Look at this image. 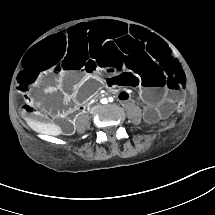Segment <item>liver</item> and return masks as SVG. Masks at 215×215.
<instances>
[{"instance_id": "6515ba94", "label": "liver", "mask_w": 215, "mask_h": 215, "mask_svg": "<svg viewBox=\"0 0 215 215\" xmlns=\"http://www.w3.org/2000/svg\"><path fill=\"white\" fill-rule=\"evenodd\" d=\"M28 124L36 131L40 133H45L49 135H58L61 133V130L58 126L54 124H43V123H37L28 120Z\"/></svg>"}]
</instances>
